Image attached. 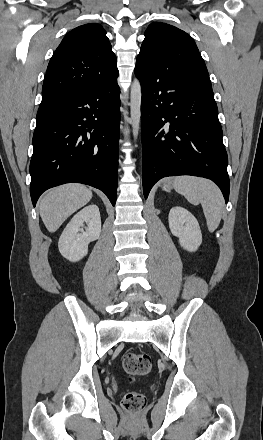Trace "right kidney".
Listing matches in <instances>:
<instances>
[{
	"label": "right kidney",
	"instance_id": "1",
	"mask_svg": "<svg viewBox=\"0 0 263 440\" xmlns=\"http://www.w3.org/2000/svg\"><path fill=\"white\" fill-rule=\"evenodd\" d=\"M87 224L85 231L84 224ZM101 233V218L97 205H88L79 211L62 232L58 248L63 257L76 262L88 253V244L97 240Z\"/></svg>",
	"mask_w": 263,
	"mask_h": 440
}]
</instances>
